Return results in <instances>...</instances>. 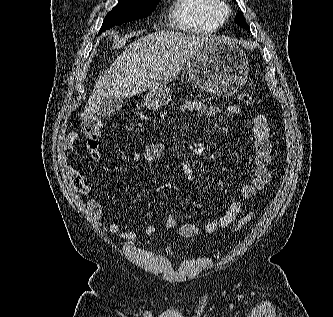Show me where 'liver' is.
<instances>
[{"label": "liver", "mask_w": 333, "mask_h": 317, "mask_svg": "<svg viewBox=\"0 0 333 317\" xmlns=\"http://www.w3.org/2000/svg\"><path fill=\"white\" fill-rule=\"evenodd\" d=\"M215 38L158 31L134 41L99 78L81 119L88 122L105 99L131 98L175 79L195 52Z\"/></svg>", "instance_id": "liver-1"}]
</instances>
